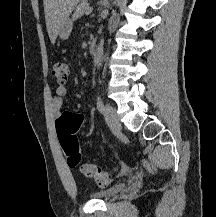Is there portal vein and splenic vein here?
<instances>
[{
	"label": "portal vein and splenic vein",
	"mask_w": 216,
	"mask_h": 217,
	"mask_svg": "<svg viewBox=\"0 0 216 217\" xmlns=\"http://www.w3.org/2000/svg\"><path fill=\"white\" fill-rule=\"evenodd\" d=\"M93 8L92 7H87L86 8V13L90 14L92 12Z\"/></svg>",
	"instance_id": "obj_1"
}]
</instances>
